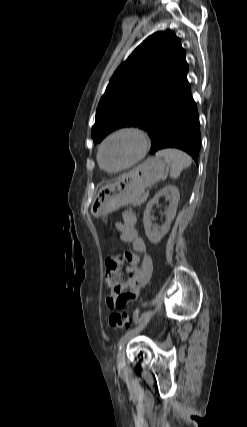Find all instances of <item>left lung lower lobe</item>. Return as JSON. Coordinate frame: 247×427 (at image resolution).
Masks as SVG:
<instances>
[{
  "instance_id": "obj_1",
  "label": "left lung lower lobe",
  "mask_w": 247,
  "mask_h": 427,
  "mask_svg": "<svg viewBox=\"0 0 247 427\" xmlns=\"http://www.w3.org/2000/svg\"><path fill=\"white\" fill-rule=\"evenodd\" d=\"M147 131L152 140L150 154L164 148H178L191 155L198 164L200 124L190 85L161 108Z\"/></svg>"
}]
</instances>
